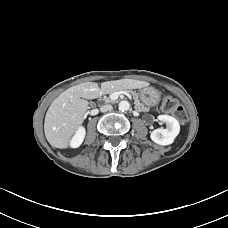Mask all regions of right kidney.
Here are the masks:
<instances>
[{
	"mask_svg": "<svg viewBox=\"0 0 228 228\" xmlns=\"http://www.w3.org/2000/svg\"><path fill=\"white\" fill-rule=\"evenodd\" d=\"M85 129L83 128V127H80L77 131H76V133H75V135L73 136V138L71 139V141H70V146L72 147V148H77V147H79L81 144H82V142H83V140H84V138H85Z\"/></svg>",
	"mask_w": 228,
	"mask_h": 228,
	"instance_id": "ca27d5eb",
	"label": "right kidney"
}]
</instances>
